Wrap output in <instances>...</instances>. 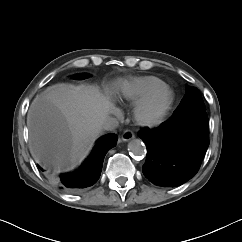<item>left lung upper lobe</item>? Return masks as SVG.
Returning <instances> with one entry per match:
<instances>
[{
    "instance_id": "1",
    "label": "left lung upper lobe",
    "mask_w": 242,
    "mask_h": 242,
    "mask_svg": "<svg viewBox=\"0 0 242 242\" xmlns=\"http://www.w3.org/2000/svg\"><path fill=\"white\" fill-rule=\"evenodd\" d=\"M179 107L174 111L173 116L169 119L172 124L176 125L188 118L196 116H207L206 108L199 90L195 87L188 86Z\"/></svg>"
}]
</instances>
